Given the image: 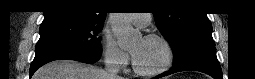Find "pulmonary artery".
Segmentation results:
<instances>
[{
	"mask_svg": "<svg viewBox=\"0 0 255 79\" xmlns=\"http://www.w3.org/2000/svg\"><path fill=\"white\" fill-rule=\"evenodd\" d=\"M129 20L140 26H147L151 22V14H131Z\"/></svg>",
	"mask_w": 255,
	"mask_h": 79,
	"instance_id": "e3ab8cb5",
	"label": "pulmonary artery"
}]
</instances>
